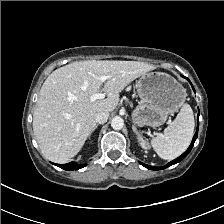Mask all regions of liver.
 <instances>
[{"label": "liver", "instance_id": "6515ba94", "mask_svg": "<svg viewBox=\"0 0 224 224\" xmlns=\"http://www.w3.org/2000/svg\"><path fill=\"white\" fill-rule=\"evenodd\" d=\"M156 69L138 61H79L53 71L43 83L33 130L42 154L50 161L66 163L83 147L95 125V115L112 112L119 93L133 80ZM108 76L100 81V76ZM104 91L105 99L91 101Z\"/></svg>", "mask_w": 224, "mask_h": 224}]
</instances>
